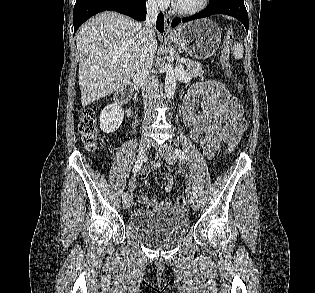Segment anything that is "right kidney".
<instances>
[{
  "label": "right kidney",
  "mask_w": 315,
  "mask_h": 293,
  "mask_svg": "<svg viewBox=\"0 0 315 293\" xmlns=\"http://www.w3.org/2000/svg\"><path fill=\"white\" fill-rule=\"evenodd\" d=\"M124 118V110L117 103L109 104L101 111L100 129L104 133H113L121 125Z\"/></svg>",
  "instance_id": "1"
}]
</instances>
